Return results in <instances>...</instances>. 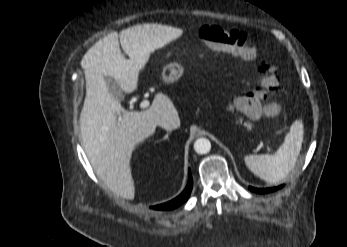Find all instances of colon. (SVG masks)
Masks as SVG:
<instances>
[{
	"instance_id": "colon-1",
	"label": "colon",
	"mask_w": 347,
	"mask_h": 247,
	"mask_svg": "<svg viewBox=\"0 0 347 247\" xmlns=\"http://www.w3.org/2000/svg\"><path fill=\"white\" fill-rule=\"evenodd\" d=\"M198 35L201 42L214 53L235 54L245 60H251L256 56L255 40L241 30L208 24L200 28ZM258 70L263 75L261 87L249 90L237 101V109L251 118L261 116L264 111L270 114L279 111L276 104L263 106L264 93L274 92L280 85L278 70L267 62H262Z\"/></svg>"
}]
</instances>
